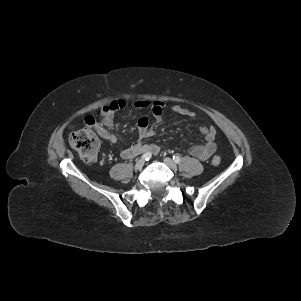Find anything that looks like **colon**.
Listing matches in <instances>:
<instances>
[{
  "mask_svg": "<svg viewBox=\"0 0 301 301\" xmlns=\"http://www.w3.org/2000/svg\"><path fill=\"white\" fill-rule=\"evenodd\" d=\"M70 145L75 149L81 158L87 162H93L96 160L99 139L95 132L90 128H82L70 135ZM221 157L215 155L212 158V164L215 166L220 165Z\"/></svg>",
  "mask_w": 301,
  "mask_h": 301,
  "instance_id": "5ec220e1",
  "label": "colon"
}]
</instances>
